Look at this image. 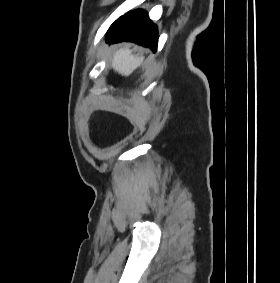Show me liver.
<instances>
[{
    "mask_svg": "<svg viewBox=\"0 0 280 283\" xmlns=\"http://www.w3.org/2000/svg\"><path fill=\"white\" fill-rule=\"evenodd\" d=\"M142 57L132 54L129 48L116 51L112 58V68L121 75L127 76L142 62Z\"/></svg>",
    "mask_w": 280,
    "mask_h": 283,
    "instance_id": "1",
    "label": "liver"
}]
</instances>
